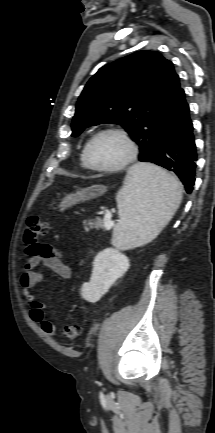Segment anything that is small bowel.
I'll return each instance as SVG.
<instances>
[{"instance_id":"obj_1","label":"small bowel","mask_w":215,"mask_h":433,"mask_svg":"<svg viewBox=\"0 0 215 433\" xmlns=\"http://www.w3.org/2000/svg\"><path fill=\"white\" fill-rule=\"evenodd\" d=\"M29 258L25 264V271L21 275L20 285L30 307V316L49 336H55L56 327L45 317V305L40 302L32 289L44 281V274L40 268H49L62 279H69L72 270L64 261L63 253L49 244H36L28 249Z\"/></svg>"}]
</instances>
